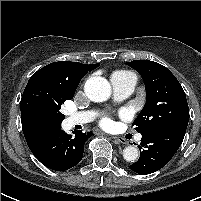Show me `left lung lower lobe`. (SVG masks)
<instances>
[{
    "instance_id": "1",
    "label": "left lung lower lobe",
    "mask_w": 201,
    "mask_h": 201,
    "mask_svg": "<svg viewBox=\"0 0 201 201\" xmlns=\"http://www.w3.org/2000/svg\"><path fill=\"white\" fill-rule=\"evenodd\" d=\"M186 128L167 126L142 134L140 158L129 166L134 172L147 175L165 166L180 147Z\"/></svg>"
}]
</instances>
